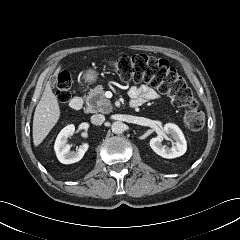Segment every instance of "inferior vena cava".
<instances>
[{
  "label": "inferior vena cava",
  "mask_w": 240,
  "mask_h": 240,
  "mask_svg": "<svg viewBox=\"0 0 240 240\" xmlns=\"http://www.w3.org/2000/svg\"><path fill=\"white\" fill-rule=\"evenodd\" d=\"M105 121V116L102 114H95L91 116V123L94 125H101Z\"/></svg>",
  "instance_id": "obj_1"
}]
</instances>
